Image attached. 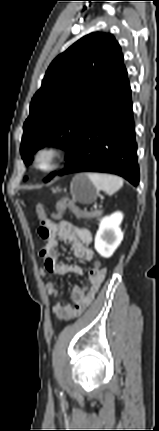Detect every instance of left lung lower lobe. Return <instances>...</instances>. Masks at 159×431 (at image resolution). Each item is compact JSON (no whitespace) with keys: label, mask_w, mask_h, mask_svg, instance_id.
<instances>
[{"label":"left lung lower lobe","mask_w":159,"mask_h":431,"mask_svg":"<svg viewBox=\"0 0 159 431\" xmlns=\"http://www.w3.org/2000/svg\"><path fill=\"white\" fill-rule=\"evenodd\" d=\"M105 172L139 184L131 89L126 78L106 104L83 126L58 175Z\"/></svg>","instance_id":"0a47b994"}]
</instances>
